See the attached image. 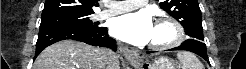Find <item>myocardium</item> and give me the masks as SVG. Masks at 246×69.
I'll return each instance as SVG.
<instances>
[{
  "label": "myocardium",
  "mask_w": 246,
  "mask_h": 69,
  "mask_svg": "<svg viewBox=\"0 0 246 69\" xmlns=\"http://www.w3.org/2000/svg\"><path fill=\"white\" fill-rule=\"evenodd\" d=\"M156 24H166L172 30V38L163 43H150L149 47L153 50H166L178 46L184 39L183 27L175 18L171 16L159 17Z\"/></svg>",
  "instance_id": "1"
}]
</instances>
